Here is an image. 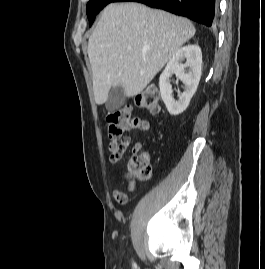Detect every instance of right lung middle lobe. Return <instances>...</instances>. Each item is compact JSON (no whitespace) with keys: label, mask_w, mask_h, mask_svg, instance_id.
<instances>
[{"label":"right lung middle lobe","mask_w":265,"mask_h":269,"mask_svg":"<svg viewBox=\"0 0 265 269\" xmlns=\"http://www.w3.org/2000/svg\"><path fill=\"white\" fill-rule=\"evenodd\" d=\"M114 0H89L86 7V13L89 19V25L91 26L95 20L97 13L102 10L107 4Z\"/></svg>","instance_id":"right-lung-middle-lobe-1"}]
</instances>
